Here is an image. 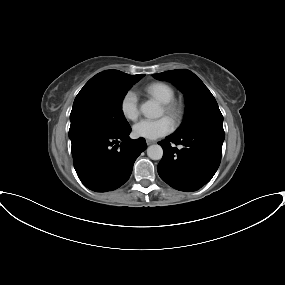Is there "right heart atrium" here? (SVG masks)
Listing matches in <instances>:
<instances>
[{
	"instance_id": "obj_1",
	"label": "right heart atrium",
	"mask_w": 285,
	"mask_h": 285,
	"mask_svg": "<svg viewBox=\"0 0 285 285\" xmlns=\"http://www.w3.org/2000/svg\"><path fill=\"white\" fill-rule=\"evenodd\" d=\"M120 110L122 115L130 121H135L139 116L138 96L132 91L128 90L122 97L120 102Z\"/></svg>"
}]
</instances>
